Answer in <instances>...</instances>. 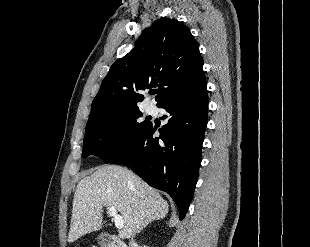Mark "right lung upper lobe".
Segmentation results:
<instances>
[{
	"label": "right lung upper lobe",
	"instance_id": "obj_1",
	"mask_svg": "<svg viewBox=\"0 0 310 247\" xmlns=\"http://www.w3.org/2000/svg\"><path fill=\"white\" fill-rule=\"evenodd\" d=\"M205 79L199 45L190 30L176 19H158L142 33L135 47L111 66L92 102L88 122L137 109L147 89L159 87V107Z\"/></svg>",
	"mask_w": 310,
	"mask_h": 247
}]
</instances>
